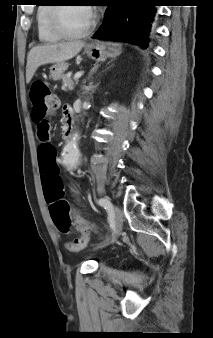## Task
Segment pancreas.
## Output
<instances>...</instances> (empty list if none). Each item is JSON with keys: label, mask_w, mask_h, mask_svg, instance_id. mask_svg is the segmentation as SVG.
I'll return each instance as SVG.
<instances>
[{"label": "pancreas", "mask_w": 213, "mask_h": 338, "mask_svg": "<svg viewBox=\"0 0 213 338\" xmlns=\"http://www.w3.org/2000/svg\"><path fill=\"white\" fill-rule=\"evenodd\" d=\"M77 83V80H76ZM62 89L64 91H68V90H73L74 89V81L72 80V78L68 75H64L62 77Z\"/></svg>", "instance_id": "1"}]
</instances>
